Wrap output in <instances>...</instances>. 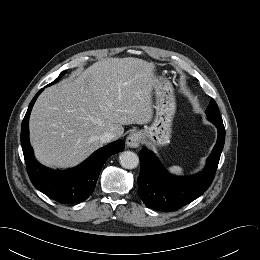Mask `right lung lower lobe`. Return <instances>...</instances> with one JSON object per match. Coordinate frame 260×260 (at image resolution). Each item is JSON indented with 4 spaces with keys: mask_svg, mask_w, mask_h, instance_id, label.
<instances>
[{
    "mask_svg": "<svg viewBox=\"0 0 260 260\" xmlns=\"http://www.w3.org/2000/svg\"><path fill=\"white\" fill-rule=\"evenodd\" d=\"M41 89L32 99L21 127V144L32 184L48 197L62 204L79 203L94 190L100 170L106 159L124 150V141L118 140L94 152L79 166L65 171H53L36 161L29 142V116Z\"/></svg>",
    "mask_w": 260,
    "mask_h": 260,
    "instance_id": "1",
    "label": "right lung lower lobe"
}]
</instances>
